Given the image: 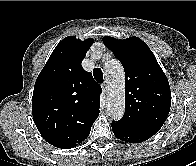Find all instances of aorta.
<instances>
[{"label":"aorta","mask_w":196,"mask_h":166,"mask_svg":"<svg viewBox=\"0 0 196 166\" xmlns=\"http://www.w3.org/2000/svg\"><path fill=\"white\" fill-rule=\"evenodd\" d=\"M104 74L107 84L106 111L112 120H120L125 111V73L122 65L116 59L104 64Z\"/></svg>","instance_id":"aorta-1"}]
</instances>
